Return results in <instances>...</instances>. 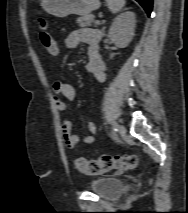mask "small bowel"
<instances>
[{"label":"small bowel","mask_w":188,"mask_h":213,"mask_svg":"<svg viewBox=\"0 0 188 213\" xmlns=\"http://www.w3.org/2000/svg\"><path fill=\"white\" fill-rule=\"evenodd\" d=\"M101 35L99 30L93 28H77L66 39L65 47L74 49L80 44L87 45L88 62L86 70L91 73L98 82L104 83L106 80L105 63L102 60L99 51ZM62 97L68 101L76 99L75 88L67 83L57 81L53 85V101L56 109L60 112H65L66 105ZM89 134L79 137L72 132V123L69 119H64L62 122V136L63 141L67 148L73 149L77 144L82 143L85 145L92 144L95 140L94 133L96 132V124L90 122L88 124Z\"/></svg>","instance_id":"small-bowel-1"}]
</instances>
